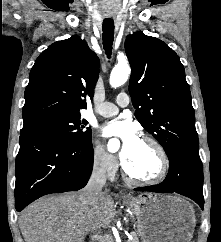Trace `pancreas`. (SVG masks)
Returning <instances> with one entry per match:
<instances>
[{"label":"pancreas","mask_w":221,"mask_h":242,"mask_svg":"<svg viewBox=\"0 0 221 242\" xmlns=\"http://www.w3.org/2000/svg\"><path fill=\"white\" fill-rule=\"evenodd\" d=\"M127 242H139L138 236L135 233H132V239Z\"/></svg>","instance_id":"cf45deb5"}]
</instances>
